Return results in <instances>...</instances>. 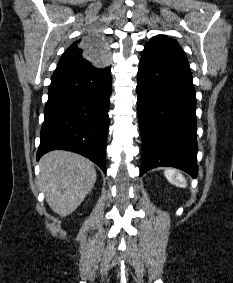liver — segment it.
<instances>
[{
	"label": "liver",
	"instance_id": "obj_1",
	"mask_svg": "<svg viewBox=\"0 0 233 283\" xmlns=\"http://www.w3.org/2000/svg\"><path fill=\"white\" fill-rule=\"evenodd\" d=\"M39 166L40 188L50 208L61 217L74 212L96 182L94 164L73 152H48Z\"/></svg>",
	"mask_w": 233,
	"mask_h": 283
}]
</instances>
